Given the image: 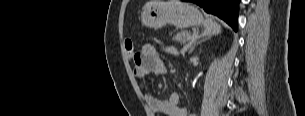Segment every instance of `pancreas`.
Returning a JSON list of instances; mask_svg holds the SVG:
<instances>
[{
	"label": "pancreas",
	"instance_id": "1",
	"mask_svg": "<svg viewBox=\"0 0 305 116\" xmlns=\"http://www.w3.org/2000/svg\"><path fill=\"white\" fill-rule=\"evenodd\" d=\"M190 37L192 38V36H190L187 33H179V34L174 35L173 40L180 42L181 45H183V47H184L182 51L185 52L189 48V45H187L186 42L188 40H190L189 39Z\"/></svg>",
	"mask_w": 305,
	"mask_h": 116
}]
</instances>
